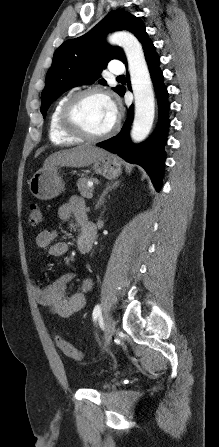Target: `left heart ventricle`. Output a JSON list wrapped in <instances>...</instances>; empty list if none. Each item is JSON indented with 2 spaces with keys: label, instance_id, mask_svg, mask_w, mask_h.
Listing matches in <instances>:
<instances>
[{
  "label": "left heart ventricle",
  "instance_id": "1",
  "mask_svg": "<svg viewBox=\"0 0 219 447\" xmlns=\"http://www.w3.org/2000/svg\"><path fill=\"white\" fill-rule=\"evenodd\" d=\"M76 118L86 130L94 134L107 131L115 122L109 101L100 97L85 99L77 109Z\"/></svg>",
  "mask_w": 219,
  "mask_h": 447
}]
</instances>
